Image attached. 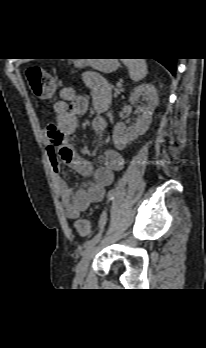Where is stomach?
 Returning <instances> with one entry per match:
<instances>
[{"instance_id":"obj_1","label":"stomach","mask_w":206,"mask_h":348,"mask_svg":"<svg viewBox=\"0 0 206 348\" xmlns=\"http://www.w3.org/2000/svg\"><path fill=\"white\" fill-rule=\"evenodd\" d=\"M75 65L77 67H83L90 65L93 68L104 72L109 73L116 70L119 67L117 59H88V60H75Z\"/></svg>"}]
</instances>
